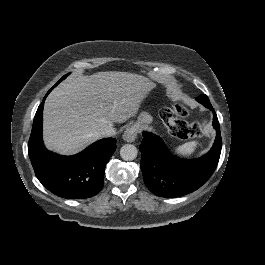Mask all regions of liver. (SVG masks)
Returning <instances> with one entry per match:
<instances>
[{
    "label": "liver",
    "instance_id": "liver-1",
    "mask_svg": "<svg viewBox=\"0 0 265 265\" xmlns=\"http://www.w3.org/2000/svg\"><path fill=\"white\" fill-rule=\"evenodd\" d=\"M156 87L149 78L128 72L106 71L76 75L47 97L43 135L48 149L75 154L103 137L114 122H125Z\"/></svg>",
    "mask_w": 265,
    "mask_h": 265
}]
</instances>
